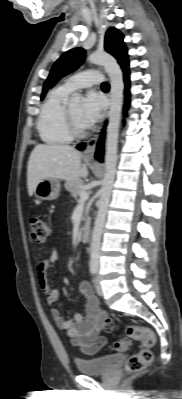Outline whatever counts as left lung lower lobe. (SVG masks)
Instances as JSON below:
<instances>
[{
	"instance_id": "0a47b994",
	"label": "left lung lower lobe",
	"mask_w": 182,
	"mask_h": 399,
	"mask_svg": "<svg viewBox=\"0 0 182 399\" xmlns=\"http://www.w3.org/2000/svg\"><path fill=\"white\" fill-rule=\"evenodd\" d=\"M123 71H124V80L126 83V89H125L126 102H125V107H124L125 111H126L128 108V104H129V69L127 68V69H124ZM103 138H104V131H102V133H101V137H100L98 147H97V152H96V158L99 161H102V156H103V147H102ZM84 147H85L84 143L77 146V148L80 150L84 149Z\"/></svg>"
}]
</instances>
